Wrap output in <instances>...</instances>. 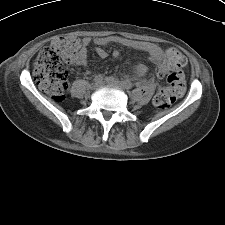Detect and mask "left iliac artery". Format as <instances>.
<instances>
[{"instance_id": "44dca946", "label": "left iliac artery", "mask_w": 225, "mask_h": 225, "mask_svg": "<svg viewBox=\"0 0 225 225\" xmlns=\"http://www.w3.org/2000/svg\"><path fill=\"white\" fill-rule=\"evenodd\" d=\"M125 84H126V86H127L128 89H130L132 87V85L129 82L128 83L125 82Z\"/></svg>"}]
</instances>
